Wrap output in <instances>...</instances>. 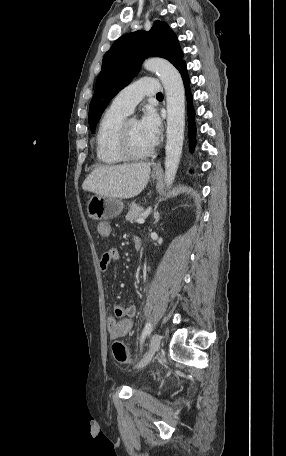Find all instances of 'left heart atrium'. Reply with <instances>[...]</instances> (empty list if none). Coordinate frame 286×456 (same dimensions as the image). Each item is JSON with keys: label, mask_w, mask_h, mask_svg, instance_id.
<instances>
[{"label": "left heart atrium", "mask_w": 286, "mask_h": 456, "mask_svg": "<svg viewBox=\"0 0 286 456\" xmlns=\"http://www.w3.org/2000/svg\"><path fill=\"white\" fill-rule=\"evenodd\" d=\"M140 128L147 137L154 143L161 130V120L155 109L147 107L144 110L142 119L139 122Z\"/></svg>", "instance_id": "obj_1"}]
</instances>
